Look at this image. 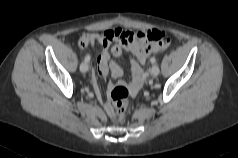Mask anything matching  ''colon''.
I'll return each mask as SVG.
<instances>
[{"label": "colon", "mask_w": 238, "mask_h": 158, "mask_svg": "<svg viewBox=\"0 0 238 158\" xmlns=\"http://www.w3.org/2000/svg\"><path fill=\"white\" fill-rule=\"evenodd\" d=\"M154 41V49L156 52L165 50L169 41L164 35L154 33L149 36ZM109 109L108 113L113 120H122L129 105V91L122 84L114 85L109 91Z\"/></svg>", "instance_id": "5ec220e1"}]
</instances>
